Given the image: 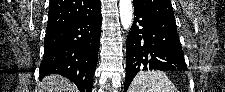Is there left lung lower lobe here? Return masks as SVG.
<instances>
[{
	"mask_svg": "<svg viewBox=\"0 0 225 92\" xmlns=\"http://www.w3.org/2000/svg\"><path fill=\"white\" fill-rule=\"evenodd\" d=\"M134 22L126 43L124 92L139 71L187 70L173 19L134 8Z\"/></svg>",
	"mask_w": 225,
	"mask_h": 92,
	"instance_id": "left-lung-lower-lobe-1",
	"label": "left lung lower lobe"
}]
</instances>
